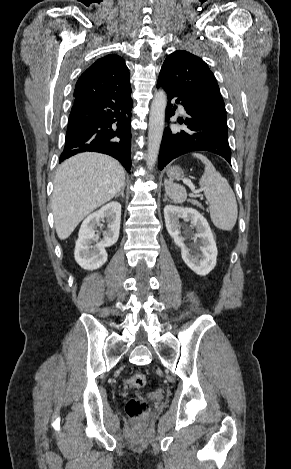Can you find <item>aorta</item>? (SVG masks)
Here are the masks:
<instances>
[{
	"label": "aorta",
	"mask_w": 291,
	"mask_h": 469,
	"mask_svg": "<svg viewBox=\"0 0 291 469\" xmlns=\"http://www.w3.org/2000/svg\"><path fill=\"white\" fill-rule=\"evenodd\" d=\"M167 105V95L165 91L156 92L150 109L149 131H148V157L147 167L152 170L158 159L160 144L163 136L165 109Z\"/></svg>",
	"instance_id": "aorta-1"
}]
</instances>
